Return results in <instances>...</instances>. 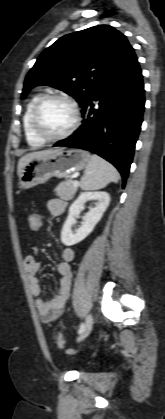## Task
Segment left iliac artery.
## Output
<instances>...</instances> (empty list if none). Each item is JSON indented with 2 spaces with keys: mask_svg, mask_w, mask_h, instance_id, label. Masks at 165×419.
Listing matches in <instances>:
<instances>
[{
  "mask_svg": "<svg viewBox=\"0 0 165 419\" xmlns=\"http://www.w3.org/2000/svg\"><path fill=\"white\" fill-rule=\"evenodd\" d=\"M84 329V323H81L78 329V333L81 334Z\"/></svg>",
  "mask_w": 165,
  "mask_h": 419,
  "instance_id": "obj_1",
  "label": "left iliac artery"
}]
</instances>
